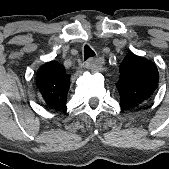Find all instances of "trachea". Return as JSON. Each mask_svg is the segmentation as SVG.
Here are the masks:
<instances>
[{
  "mask_svg": "<svg viewBox=\"0 0 169 169\" xmlns=\"http://www.w3.org/2000/svg\"><path fill=\"white\" fill-rule=\"evenodd\" d=\"M95 55V52L90 48L89 45L84 46V58L85 60L88 59L89 57H92Z\"/></svg>",
  "mask_w": 169,
  "mask_h": 169,
  "instance_id": "1",
  "label": "trachea"
}]
</instances>
